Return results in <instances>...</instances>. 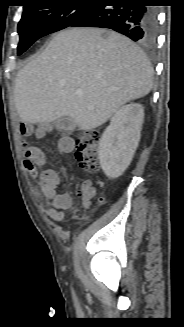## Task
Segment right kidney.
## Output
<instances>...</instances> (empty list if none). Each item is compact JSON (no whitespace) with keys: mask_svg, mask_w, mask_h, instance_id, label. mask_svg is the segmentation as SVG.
Segmentation results:
<instances>
[{"mask_svg":"<svg viewBox=\"0 0 184 327\" xmlns=\"http://www.w3.org/2000/svg\"><path fill=\"white\" fill-rule=\"evenodd\" d=\"M144 109L139 103L122 106L111 118L99 143V161L106 176L115 178L130 165L140 141Z\"/></svg>","mask_w":184,"mask_h":327,"instance_id":"1","label":"right kidney"}]
</instances>
